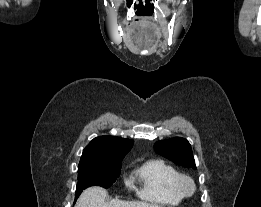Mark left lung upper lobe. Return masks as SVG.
Segmentation results:
<instances>
[{
	"instance_id": "obj_1",
	"label": "left lung upper lobe",
	"mask_w": 261,
	"mask_h": 207,
	"mask_svg": "<svg viewBox=\"0 0 261 207\" xmlns=\"http://www.w3.org/2000/svg\"><path fill=\"white\" fill-rule=\"evenodd\" d=\"M155 151L161 156L184 167L196 168L190 143L181 137L158 141Z\"/></svg>"
}]
</instances>
